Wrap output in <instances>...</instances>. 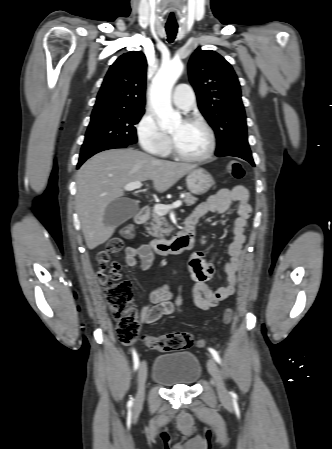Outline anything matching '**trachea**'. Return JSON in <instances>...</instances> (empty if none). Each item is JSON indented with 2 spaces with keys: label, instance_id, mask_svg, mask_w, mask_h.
Segmentation results:
<instances>
[{
  "label": "trachea",
  "instance_id": "3493384b",
  "mask_svg": "<svg viewBox=\"0 0 332 449\" xmlns=\"http://www.w3.org/2000/svg\"><path fill=\"white\" fill-rule=\"evenodd\" d=\"M167 40L172 43L176 37L178 27L177 26H166Z\"/></svg>",
  "mask_w": 332,
  "mask_h": 449
}]
</instances>
